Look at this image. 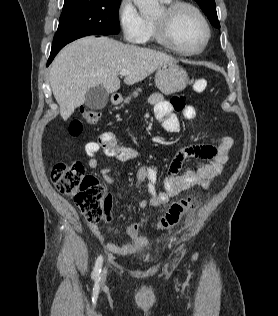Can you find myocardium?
<instances>
[{
    "label": "myocardium",
    "mask_w": 278,
    "mask_h": 316,
    "mask_svg": "<svg viewBox=\"0 0 278 316\" xmlns=\"http://www.w3.org/2000/svg\"><path fill=\"white\" fill-rule=\"evenodd\" d=\"M183 8L192 10L205 28L206 35L204 42L198 49L195 50H187L183 48L177 42L173 32L174 17ZM153 22L158 39L169 48L185 56H195L202 53L208 46L211 39V27L206 16L198 6L189 1L173 0L171 3L163 7L161 17L155 18Z\"/></svg>",
    "instance_id": "f54148a6"
}]
</instances>
